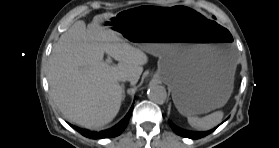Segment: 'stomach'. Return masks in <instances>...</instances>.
I'll use <instances>...</instances> for the list:
<instances>
[{"instance_id":"0dacf381","label":"stomach","mask_w":279,"mask_h":148,"mask_svg":"<svg viewBox=\"0 0 279 148\" xmlns=\"http://www.w3.org/2000/svg\"><path fill=\"white\" fill-rule=\"evenodd\" d=\"M104 24L159 57L155 78L169 86L180 114L208 113L228 101L236 69L234 39L203 12L136 5Z\"/></svg>"}]
</instances>
